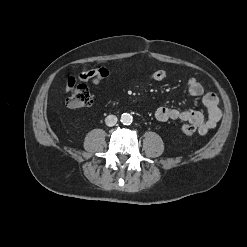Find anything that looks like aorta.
<instances>
[{"label": "aorta", "mask_w": 247, "mask_h": 247, "mask_svg": "<svg viewBox=\"0 0 247 247\" xmlns=\"http://www.w3.org/2000/svg\"><path fill=\"white\" fill-rule=\"evenodd\" d=\"M132 121H133V117L129 113H123L121 115V122L124 125H130L132 123Z\"/></svg>", "instance_id": "762f6f07"}]
</instances>
